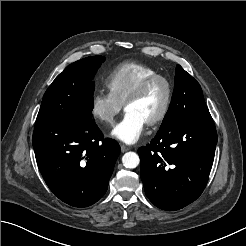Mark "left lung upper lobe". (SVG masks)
I'll list each match as a JSON object with an SVG mask.
<instances>
[{
    "label": "left lung upper lobe",
    "instance_id": "obj_1",
    "mask_svg": "<svg viewBox=\"0 0 246 246\" xmlns=\"http://www.w3.org/2000/svg\"><path fill=\"white\" fill-rule=\"evenodd\" d=\"M207 112L209 110L205 104L201 86L180 65H177L171 104L159 131L170 127L179 119Z\"/></svg>",
    "mask_w": 246,
    "mask_h": 246
}]
</instances>
